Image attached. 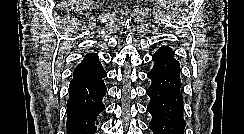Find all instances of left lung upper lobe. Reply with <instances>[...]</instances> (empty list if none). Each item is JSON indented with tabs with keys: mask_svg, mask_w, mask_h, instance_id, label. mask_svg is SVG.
I'll return each instance as SVG.
<instances>
[{
	"mask_svg": "<svg viewBox=\"0 0 244 134\" xmlns=\"http://www.w3.org/2000/svg\"><path fill=\"white\" fill-rule=\"evenodd\" d=\"M153 69L149 72L164 86H181L179 62L169 47H161L152 56Z\"/></svg>",
	"mask_w": 244,
	"mask_h": 134,
	"instance_id": "1",
	"label": "left lung upper lobe"
}]
</instances>
